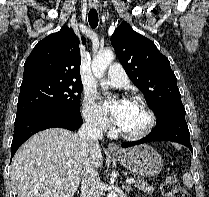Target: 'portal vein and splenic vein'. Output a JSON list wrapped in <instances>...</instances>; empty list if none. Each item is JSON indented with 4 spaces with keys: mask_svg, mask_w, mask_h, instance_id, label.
<instances>
[{
    "mask_svg": "<svg viewBox=\"0 0 209 197\" xmlns=\"http://www.w3.org/2000/svg\"><path fill=\"white\" fill-rule=\"evenodd\" d=\"M126 182H127L128 184H132V183H135L136 180L133 179V178H130V179H127Z\"/></svg>",
    "mask_w": 209,
    "mask_h": 197,
    "instance_id": "obj_1",
    "label": "portal vein and splenic vein"
}]
</instances>
